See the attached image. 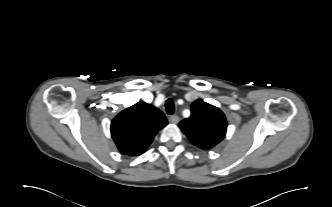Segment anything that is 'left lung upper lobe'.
<instances>
[{
  "mask_svg": "<svg viewBox=\"0 0 332 207\" xmlns=\"http://www.w3.org/2000/svg\"><path fill=\"white\" fill-rule=\"evenodd\" d=\"M179 127L194 145L208 150L224 138L227 121L217 107L198 99L191 106V116L181 121Z\"/></svg>",
  "mask_w": 332,
  "mask_h": 207,
  "instance_id": "obj_1",
  "label": "left lung upper lobe"
}]
</instances>
